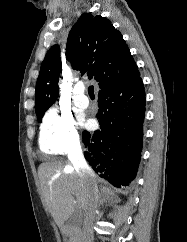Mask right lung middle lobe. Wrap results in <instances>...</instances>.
Wrapping results in <instances>:
<instances>
[{
    "label": "right lung middle lobe",
    "mask_w": 187,
    "mask_h": 242,
    "mask_svg": "<svg viewBox=\"0 0 187 242\" xmlns=\"http://www.w3.org/2000/svg\"><path fill=\"white\" fill-rule=\"evenodd\" d=\"M43 114L44 113H42V114H40V115L37 116L39 122L41 121Z\"/></svg>",
    "instance_id": "right-lung-middle-lobe-1"
}]
</instances>
